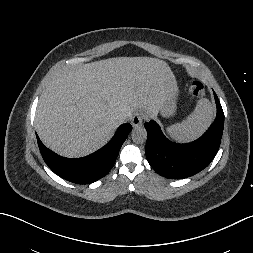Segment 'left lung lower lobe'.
<instances>
[{
  "instance_id": "left-lung-lower-lobe-1",
  "label": "left lung lower lobe",
  "mask_w": 253,
  "mask_h": 253,
  "mask_svg": "<svg viewBox=\"0 0 253 253\" xmlns=\"http://www.w3.org/2000/svg\"><path fill=\"white\" fill-rule=\"evenodd\" d=\"M217 115L210 129L197 141L176 144L169 141L155 121L145 123L147 130L146 157L151 167L169 179L193 176L206 168L215 157L221 143L224 113L214 93Z\"/></svg>"
}]
</instances>
